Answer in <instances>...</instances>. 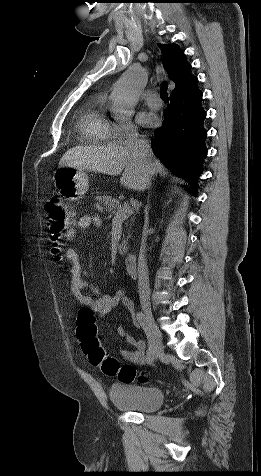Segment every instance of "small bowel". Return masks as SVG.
<instances>
[{"instance_id":"c3829d8e","label":"small bowel","mask_w":261,"mask_h":476,"mask_svg":"<svg viewBox=\"0 0 261 476\" xmlns=\"http://www.w3.org/2000/svg\"><path fill=\"white\" fill-rule=\"evenodd\" d=\"M100 225L101 218L99 216L84 215L77 221L74 227L66 232L65 237L72 239L78 231L90 227L97 228ZM64 253L65 257L70 261V289L81 305L92 309L99 318H105L118 304H122L130 312L134 311V303L126 296L123 290H118L114 295L102 294L94 283L83 278L79 256L73 248L64 247ZM85 289H88L90 294H85L83 292ZM117 333L121 339L133 347V350H120V356L129 362L143 363L146 353L145 342L132 337L124 327H119Z\"/></svg>"}]
</instances>
